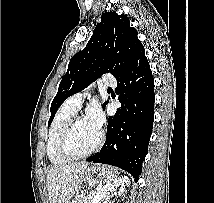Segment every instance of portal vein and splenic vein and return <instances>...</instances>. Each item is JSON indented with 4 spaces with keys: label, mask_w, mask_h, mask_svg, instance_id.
I'll list each match as a JSON object with an SVG mask.
<instances>
[{
    "label": "portal vein and splenic vein",
    "mask_w": 214,
    "mask_h": 203,
    "mask_svg": "<svg viewBox=\"0 0 214 203\" xmlns=\"http://www.w3.org/2000/svg\"><path fill=\"white\" fill-rule=\"evenodd\" d=\"M111 188L104 187L100 190H98L95 194V196L91 199V203H98L101 198L105 195L106 191H109Z\"/></svg>",
    "instance_id": "18ae733b"
}]
</instances>
